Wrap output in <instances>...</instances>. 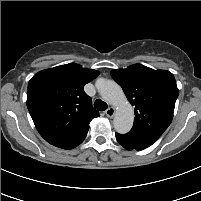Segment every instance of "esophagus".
Returning <instances> with one entry per match:
<instances>
[{"label":"esophagus","mask_w":201,"mask_h":201,"mask_svg":"<svg viewBox=\"0 0 201 201\" xmlns=\"http://www.w3.org/2000/svg\"><path fill=\"white\" fill-rule=\"evenodd\" d=\"M105 114L107 117L109 118H113L114 114H115V109L113 107H109L106 111Z\"/></svg>","instance_id":"esophagus-1"}]
</instances>
